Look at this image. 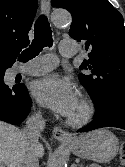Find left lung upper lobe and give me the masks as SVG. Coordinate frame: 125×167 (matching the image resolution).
<instances>
[{
  "label": "left lung upper lobe",
  "instance_id": "obj_1",
  "mask_svg": "<svg viewBox=\"0 0 125 167\" xmlns=\"http://www.w3.org/2000/svg\"><path fill=\"white\" fill-rule=\"evenodd\" d=\"M72 14L69 35L85 40L90 51L80 82L97 105L108 94L125 93V27L123 16L108 0H51Z\"/></svg>",
  "mask_w": 125,
  "mask_h": 167
}]
</instances>
